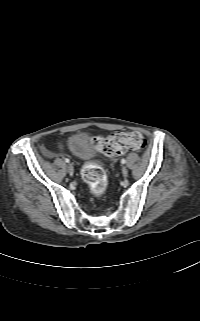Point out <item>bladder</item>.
<instances>
[{
    "label": "bladder",
    "mask_w": 200,
    "mask_h": 321,
    "mask_svg": "<svg viewBox=\"0 0 200 321\" xmlns=\"http://www.w3.org/2000/svg\"><path fill=\"white\" fill-rule=\"evenodd\" d=\"M70 152L78 159L89 160L95 154V145L89 136L82 132H76L69 136L67 141Z\"/></svg>",
    "instance_id": "1"
}]
</instances>
